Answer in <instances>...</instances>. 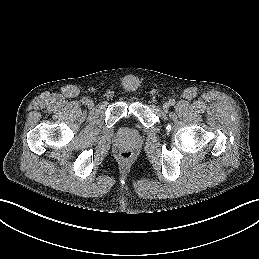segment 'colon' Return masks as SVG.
Listing matches in <instances>:
<instances>
[{
	"mask_svg": "<svg viewBox=\"0 0 259 259\" xmlns=\"http://www.w3.org/2000/svg\"><path fill=\"white\" fill-rule=\"evenodd\" d=\"M120 158L125 162L130 161L132 158V152L129 150H124L120 153Z\"/></svg>",
	"mask_w": 259,
	"mask_h": 259,
	"instance_id": "colon-1",
	"label": "colon"
}]
</instances>
